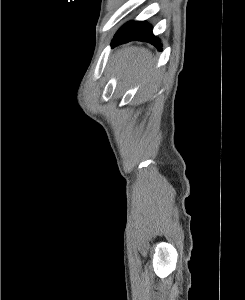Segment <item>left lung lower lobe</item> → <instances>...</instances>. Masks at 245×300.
Wrapping results in <instances>:
<instances>
[{
  "label": "left lung lower lobe",
  "mask_w": 245,
  "mask_h": 300,
  "mask_svg": "<svg viewBox=\"0 0 245 300\" xmlns=\"http://www.w3.org/2000/svg\"><path fill=\"white\" fill-rule=\"evenodd\" d=\"M146 41L161 51V41L152 33L151 25L146 21H130L123 25L112 40V46L129 41Z\"/></svg>",
  "instance_id": "obj_1"
}]
</instances>
